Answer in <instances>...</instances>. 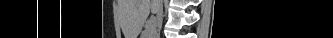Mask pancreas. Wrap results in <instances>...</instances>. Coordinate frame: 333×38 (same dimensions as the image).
<instances>
[{
  "mask_svg": "<svg viewBox=\"0 0 333 38\" xmlns=\"http://www.w3.org/2000/svg\"><path fill=\"white\" fill-rule=\"evenodd\" d=\"M151 35L152 36L155 35V26L154 25H151L150 27H148L143 33V36L145 38H151Z\"/></svg>",
  "mask_w": 333,
  "mask_h": 38,
  "instance_id": "obj_1",
  "label": "pancreas"
}]
</instances>
